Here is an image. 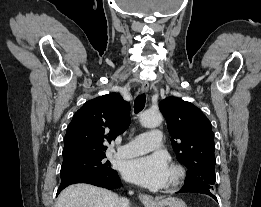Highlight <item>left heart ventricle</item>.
<instances>
[{
    "instance_id": "left-heart-ventricle-1",
    "label": "left heart ventricle",
    "mask_w": 261,
    "mask_h": 207,
    "mask_svg": "<svg viewBox=\"0 0 261 207\" xmlns=\"http://www.w3.org/2000/svg\"><path fill=\"white\" fill-rule=\"evenodd\" d=\"M171 177H172V174H171V172L169 170L168 174H167L166 184L171 180Z\"/></svg>"
}]
</instances>
